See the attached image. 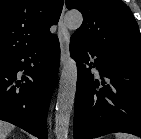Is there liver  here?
<instances>
[{
  "label": "liver",
  "instance_id": "6515ba94",
  "mask_svg": "<svg viewBox=\"0 0 141 139\" xmlns=\"http://www.w3.org/2000/svg\"><path fill=\"white\" fill-rule=\"evenodd\" d=\"M12 129H14L12 124L0 120V139H6Z\"/></svg>",
  "mask_w": 141,
  "mask_h": 139
}]
</instances>
